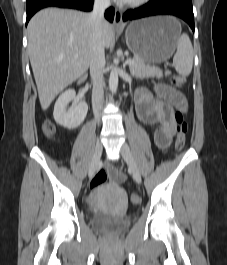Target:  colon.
Masks as SVG:
<instances>
[{
	"mask_svg": "<svg viewBox=\"0 0 227 265\" xmlns=\"http://www.w3.org/2000/svg\"><path fill=\"white\" fill-rule=\"evenodd\" d=\"M186 79L184 76L179 74H174L171 77V83L178 88L184 86ZM175 122H176V137H175V148L176 150L180 151L184 148L186 143V134L188 131V125L184 119V116L181 112H177L175 114ZM43 133L50 137L55 132V127L50 121H45L42 125ZM108 175L105 170H99L95 176L93 177L90 187L91 189H95L105 183L107 181ZM131 202L134 204H138L140 202V197L137 194H132Z\"/></svg>",
	"mask_w": 227,
	"mask_h": 265,
	"instance_id": "5ec220e1",
	"label": "colon"
}]
</instances>
